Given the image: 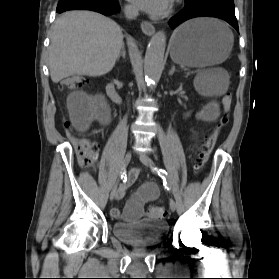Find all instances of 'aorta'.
Returning a JSON list of instances; mask_svg holds the SVG:
<instances>
[{"instance_id":"1","label":"aorta","mask_w":279,"mask_h":279,"mask_svg":"<svg viewBox=\"0 0 279 279\" xmlns=\"http://www.w3.org/2000/svg\"><path fill=\"white\" fill-rule=\"evenodd\" d=\"M165 47V33L163 31L155 33L149 42L144 58V73L151 83H155L161 77L164 67Z\"/></svg>"}]
</instances>
